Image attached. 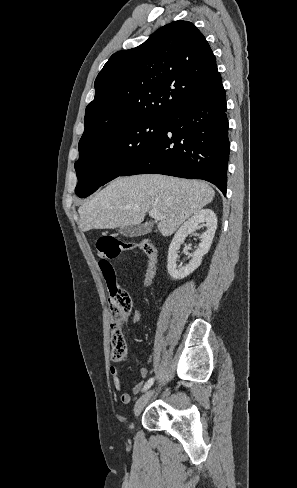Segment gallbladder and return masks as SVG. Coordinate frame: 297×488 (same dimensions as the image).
I'll return each instance as SVG.
<instances>
[{
    "label": "gallbladder",
    "instance_id": "obj_1",
    "mask_svg": "<svg viewBox=\"0 0 297 488\" xmlns=\"http://www.w3.org/2000/svg\"><path fill=\"white\" fill-rule=\"evenodd\" d=\"M151 226V224L128 225L120 227L119 233L124 237H138L150 232Z\"/></svg>",
    "mask_w": 297,
    "mask_h": 488
}]
</instances>
